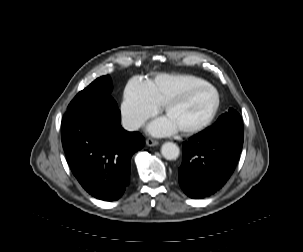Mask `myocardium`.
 Wrapping results in <instances>:
<instances>
[{
    "instance_id": "1",
    "label": "myocardium",
    "mask_w": 303,
    "mask_h": 252,
    "mask_svg": "<svg viewBox=\"0 0 303 252\" xmlns=\"http://www.w3.org/2000/svg\"><path fill=\"white\" fill-rule=\"evenodd\" d=\"M203 87L210 89L213 93L214 102H213L212 108L210 109V112L207 115V117L201 123H199L195 126H191V127L178 128V131L183 135H190V134L199 132L211 124V122L213 121V119L218 111L219 103H220L219 94H218L216 88L208 82H201L200 84L196 85L193 89H191L189 92H187L184 96L167 102L163 107V112L166 115L173 106L183 103L184 101H186L189 98V96L194 91H196L199 88H203Z\"/></svg>"
}]
</instances>
